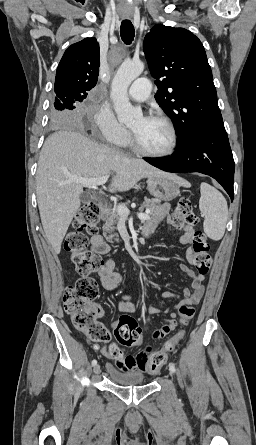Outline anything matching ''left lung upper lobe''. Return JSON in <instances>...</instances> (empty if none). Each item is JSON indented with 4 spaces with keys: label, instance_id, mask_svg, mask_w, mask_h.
<instances>
[{
    "label": "left lung upper lobe",
    "instance_id": "5c2ea615",
    "mask_svg": "<svg viewBox=\"0 0 256 445\" xmlns=\"http://www.w3.org/2000/svg\"><path fill=\"white\" fill-rule=\"evenodd\" d=\"M143 50L158 87L155 99L172 119L178 142L198 129L224 128L212 71L192 32L155 25Z\"/></svg>",
    "mask_w": 256,
    "mask_h": 445
}]
</instances>
